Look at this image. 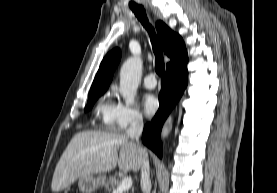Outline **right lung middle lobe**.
<instances>
[{"label":"right lung middle lobe","instance_id":"dd1d6c3e","mask_svg":"<svg viewBox=\"0 0 277 193\" xmlns=\"http://www.w3.org/2000/svg\"><path fill=\"white\" fill-rule=\"evenodd\" d=\"M102 93L103 92H95V93L89 94V96H88V102H87V105L85 107V111H87V110L92 108L93 104L98 99V97L102 95Z\"/></svg>","mask_w":277,"mask_h":193}]
</instances>
